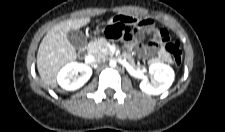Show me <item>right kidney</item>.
<instances>
[{
    "label": "right kidney",
    "mask_w": 225,
    "mask_h": 132,
    "mask_svg": "<svg viewBox=\"0 0 225 132\" xmlns=\"http://www.w3.org/2000/svg\"><path fill=\"white\" fill-rule=\"evenodd\" d=\"M92 69L86 64L73 62L63 67L57 76L58 84L65 90H77L91 77Z\"/></svg>",
    "instance_id": "ca27d5eb"
}]
</instances>
